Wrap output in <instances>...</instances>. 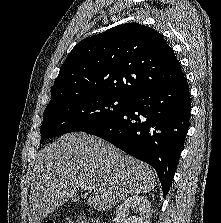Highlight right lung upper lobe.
Returning <instances> with one entry per match:
<instances>
[{"label":"right lung upper lobe","instance_id":"obj_1","mask_svg":"<svg viewBox=\"0 0 221 223\" xmlns=\"http://www.w3.org/2000/svg\"><path fill=\"white\" fill-rule=\"evenodd\" d=\"M184 78L174 51L156 30L138 23L80 41L64 61L51 101L85 95L132 99Z\"/></svg>","mask_w":221,"mask_h":223}]
</instances>
